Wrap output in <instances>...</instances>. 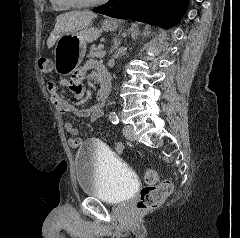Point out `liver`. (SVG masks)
<instances>
[{"label":"liver","instance_id":"6515ba94","mask_svg":"<svg viewBox=\"0 0 240 238\" xmlns=\"http://www.w3.org/2000/svg\"><path fill=\"white\" fill-rule=\"evenodd\" d=\"M96 17L97 14L91 11H71L59 15L55 27L47 40L48 48L53 47L61 35L88 27Z\"/></svg>","mask_w":240,"mask_h":238}]
</instances>
